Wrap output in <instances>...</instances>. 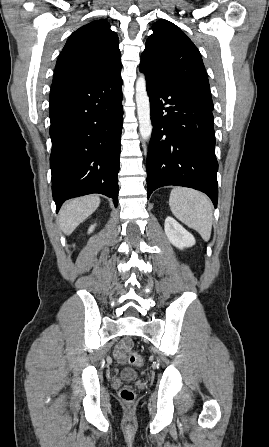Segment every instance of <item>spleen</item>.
<instances>
[{
  "label": "spleen",
  "mask_w": 269,
  "mask_h": 447,
  "mask_svg": "<svg viewBox=\"0 0 269 447\" xmlns=\"http://www.w3.org/2000/svg\"><path fill=\"white\" fill-rule=\"evenodd\" d=\"M169 206L172 214L180 222L196 229L205 241L210 239L213 208L205 194L190 190V188H173Z\"/></svg>",
  "instance_id": "3e777b00"
}]
</instances>
